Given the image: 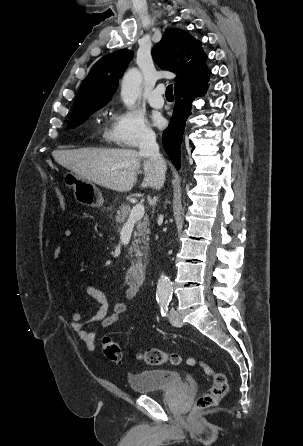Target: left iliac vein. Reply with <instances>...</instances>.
<instances>
[{
  "instance_id": "left-iliac-vein-1",
  "label": "left iliac vein",
  "mask_w": 303,
  "mask_h": 446,
  "mask_svg": "<svg viewBox=\"0 0 303 446\" xmlns=\"http://www.w3.org/2000/svg\"><path fill=\"white\" fill-rule=\"evenodd\" d=\"M169 320L174 326H177V327H180L183 324L180 314L175 309L170 310Z\"/></svg>"
}]
</instances>
